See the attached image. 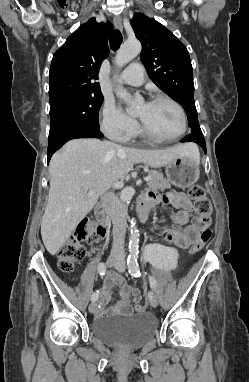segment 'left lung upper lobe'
I'll list each match as a JSON object with an SVG mask.
<instances>
[{"label":"left lung upper lobe","instance_id":"1","mask_svg":"<svg viewBox=\"0 0 249 382\" xmlns=\"http://www.w3.org/2000/svg\"><path fill=\"white\" fill-rule=\"evenodd\" d=\"M142 44L140 59L151 80L182 105L191 133H202L194 102L193 69L186 47L162 24L142 13L131 20Z\"/></svg>","mask_w":249,"mask_h":382}]
</instances>
